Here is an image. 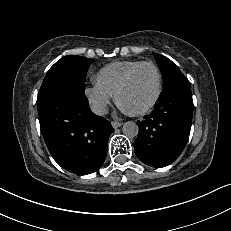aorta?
I'll return each mask as SVG.
<instances>
[{
    "mask_svg": "<svg viewBox=\"0 0 231 231\" xmlns=\"http://www.w3.org/2000/svg\"><path fill=\"white\" fill-rule=\"evenodd\" d=\"M123 134L129 138L136 137L139 132L138 125L133 121H127L122 128Z\"/></svg>",
    "mask_w": 231,
    "mask_h": 231,
    "instance_id": "aorta-1",
    "label": "aorta"
}]
</instances>
